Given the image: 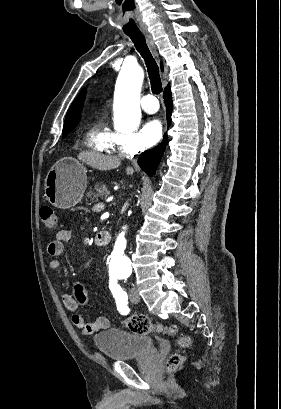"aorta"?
Wrapping results in <instances>:
<instances>
[{
    "instance_id": "762f6f07",
    "label": "aorta",
    "mask_w": 281,
    "mask_h": 409,
    "mask_svg": "<svg viewBox=\"0 0 281 409\" xmlns=\"http://www.w3.org/2000/svg\"><path fill=\"white\" fill-rule=\"evenodd\" d=\"M143 82V71L140 67L123 65L114 97L115 129L124 133L134 131L141 117L139 97Z\"/></svg>"
}]
</instances>
